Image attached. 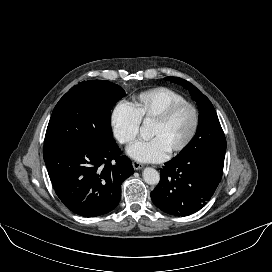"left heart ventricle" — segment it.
<instances>
[{
  "label": "left heart ventricle",
  "instance_id": "obj_1",
  "mask_svg": "<svg viewBox=\"0 0 272 272\" xmlns=\"http://www.w3.org/2000/svg\"><path fill=\"white\" fill-rule=\"evenodd\" d=\"M193 124V115L187 108L178 111L164 124L151 123L150 137L162 140L167 151L180 145L189 135Z\"/></svg>",
  "mask_w": 272,
  "mask_h": 272
}]
</instances>
